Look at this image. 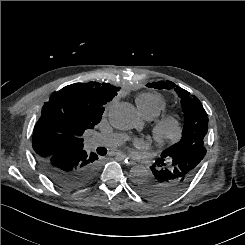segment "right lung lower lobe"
<instances>
[{
  "label": "right lung lower lobe",
  "instance_id": "98d812e1",
  "mask_svg": "<svg viewBox=\"0 0 245 245\" xmlns=\"http://www.w3.org/2000/svg\"><path fill=\"white\" fill-rule=\"evenodd\" d=\"M98 156L83 149H66L47 160L38 159L46 176L65 190H75L90 183L98 171Z\"/></svg>",
  "mask_w": 245,
  "mask_h": 245
}]
</instances>
